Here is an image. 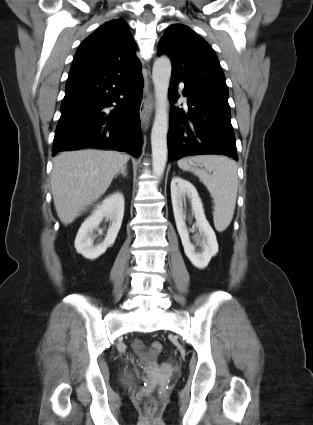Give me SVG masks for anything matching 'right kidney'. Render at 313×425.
<instances>
[{
	"mask_svg": "<svg viewBox=\"0 0 313 425\" xmlns=\"http://www.w3.org/2000/svg\"><path fill=\"white\" fill-rule=\"evenodd\" d=\"M124 196L117 192L103 200L81 225L75 239V248L79 254L87 259L94 260L105 253L111 247L120 230L124 216ZM103 218L111 222L104 241L96 246L93 245V231L98 228Z\"/></svg>",
	"mask_w": 313,
	"mask_h": 425,
	"instance_id": "right-kidney-1",
	"label": "right kidney"
}]
</instances>
